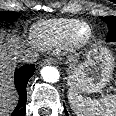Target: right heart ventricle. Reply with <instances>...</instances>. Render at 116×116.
Listing matches in <instances>:
<instances>
[{"mask_svg":"<svg viewBox=\"0 0 116 116\" xmlns=\"http://www.w3.org/2000/svg\"><path fill=\"white\" fill-rule=\"evenodd\" d=\"M79 20L73 18H60L41 21L32 26L30 42L39 50L47 51L60 45L68 32Z\"/></svg>","mask_w":116,"mask_h":116,"instance_id":"e07e8e85","label":"right heart ventricle"}]
</instances>
